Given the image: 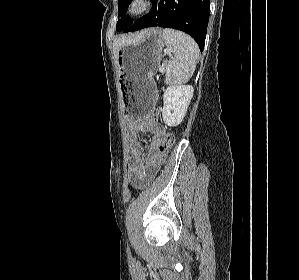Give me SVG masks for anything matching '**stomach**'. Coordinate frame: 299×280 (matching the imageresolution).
Segmentation results:
<instances>
[{"instance_id":"0dacf381","label":"stomach","mask_w":299,"mask_h":280,"mask_svg":"<svg viewBox=\"0 0 299 280\" xmlns=\"http://www.w3.org/2000/svg\"><path fill=\"white\" fill-rule=\"evenodd\" d=\"M165 45L162 31L146 29L124 44L118 52L120 93L126 116H147L155 102L153 76L160 66Z\"/></svg>"}]
</instances>
